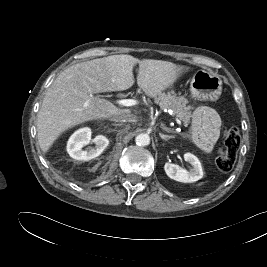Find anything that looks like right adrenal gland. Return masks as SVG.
<instances>
[{"label":"right adrenal gland","instance_id":"right-adrenal-gland-1","mask_svg":"<svg viewBox=\"0 0 267 267\" xmlns=\"http://www.w3.org/2000/svg\"><path fill=\"white\" fill-rule=\"evenodd\" d=\"M113 125H115V126H121V124H113Z\"/></svg>","mask_w":267,"mask_h":267}]
</instances>
